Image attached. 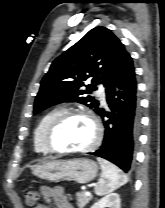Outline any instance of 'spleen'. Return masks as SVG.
<instances>
[{
  "mask_svg": "<svg viewBox=\"0 0 165 208\" xmlns=\"http://www.w3.org/2000/svg\"><path fill=\"white\" fill-rule=\"evenodd\" d=\"M97 161L102 169L101 178L95 186L98 196L108 194L127 183L126 175L116 165L100 157Z\"/></svg>",
  "mask_w": 165,
  "mask_h": 208,
  "instance_id": "spleen-1",
  "label": "spleen"
}]
</instances>
